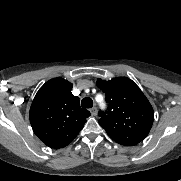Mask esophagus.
I'll return each mask as SVG.
<instances>
[{"mask_svg":"<svg viewBox=\"0 0 181 181\" xmlns=\"http://www.w3.org/2000/svg\"><path fill=\"white\" fill-rule=\"evenodd\" d=\"M90 113H91L93 116H95V115L97 114V108H96V107H92V108L90 109Z\"/></svg>","mask_w":181,"mask_h":181,"instance_id":"obj_1","label":"esophagus"}]
</instances>
